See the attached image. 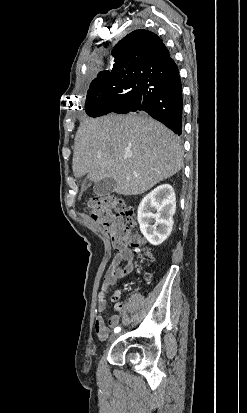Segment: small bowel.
Returning a JSON list of instances; mask_svg holds the SVG:
<instances>
[{
    "label": "small bowel",
    "instance_id": "obj_1",
    "mask_svg": "<svg viewBox=\"0 0 247 413\" xmlns=\"http://www.w3.org/2000/svg\"><path fill=\"white\" fill-rule=\"evenodd\" d=\"M134 269V254L130 249L119 251L112 259L107 272L101 283L98 294L97 310L101 314L105 311L107 298L111 292L113 285L118 279H121L130 274ZM120 298V292H115L111 300ZM120 323L119 315H112L109 318V326L117 327ZM94 330L96 335L101 340H106L110 335V329L105 324L103 318L98 316L95 319Z\"/></svg>",
    "mask_w": 247,
    "mask_h": 413
}]
</instances>
